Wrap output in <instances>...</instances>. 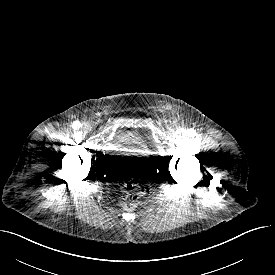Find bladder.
<instances>
[{"label": "bladder", "mask_w": 275, "mask_h": 275, "mask_svg": "<svg viewBox=\"0 0 275 275\" xmlns=\"http://www.w3.org/2000/svg\"><path fill=\"white\" fill-rule=\"evenodd\" d=\"M110 170L120 178L144 177L158 163V146L152 136L136 130L116 134L108 151Z\"/></svg>", "instance_id": "1"}]
</instances>
